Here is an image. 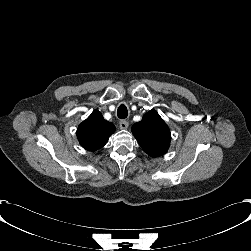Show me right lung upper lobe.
<instances>
[{
    "mask_svg": "<svg viewBox=\"0 0 251 251\" xmlns=\"http://www.w3.org/2000/svg\"><path fill=\"white\" fill-rule=\"evenodd\" d=\"M115 126L106 121L102 114L94 110L77 129V138L81 146L88 151L102 148L114 133Z\"/></svg>",
    "mask_w": 251,
    "mask_h": 251,
    "instance_id": "cb5924a9",
    "label": "right lung upper lobe"
}]
</instances>
